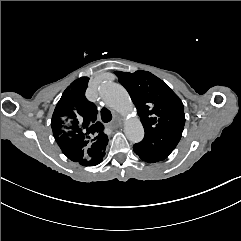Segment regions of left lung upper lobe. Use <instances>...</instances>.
Segmentation results:
<instances>
[{
	"label": "left lung upper lobe",
	"instance_id": "obj_1",
	"mask_svg": "<svg viewBox=\"0 0 241 241\" xmlns=\"http://www.w3.org/2000/svg\"><path fill=\"white\" fill-rule=\"evenodd\" d=\"M135 104L151 139L161 131H182L185 124L183 103L164 81L147 71L115 72Z\"/></svg>",
	"mask_w": 241,
	"mask_h": 241
}]
</instances>
